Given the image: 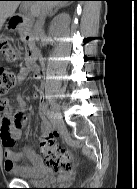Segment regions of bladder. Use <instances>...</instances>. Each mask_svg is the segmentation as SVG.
Masks as SVG:
<instances>
[{
    "label": "bladder",
    "instance_id": "bladder-1",
    "mask_svg": "<svg viewBox=\"0 0 137 189\" xmlns=\"http://www.w3.org/2000/svg\"><path fill=\"white\" fill-rule=\"evenodd\" d=\"M20 177L27 181L38 182L45 185L56 183V176L54 173L43 167L34 168L30 173L22 174Z\"/></svg>",
    "mask_w": 137,
    "mask_h": 189
}]
</instances>
